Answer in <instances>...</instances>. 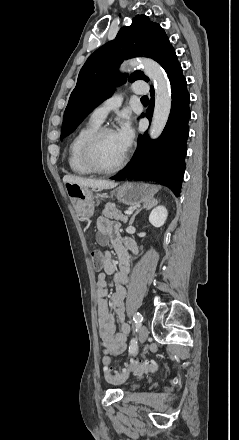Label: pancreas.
Segmentation results:
<instances>
[{"label":"pancreas","instance_id":"obj_1","mask_svg":"<svg viewBox=\"0 0 239 440\" xmlns=\"http://www.w3.org/2000/svg\"><path fill=\"white\" fill-rule=\"evenodd\" d=\"M103 216L105 218H111V220H120V222H124L126 224L128 220V216H124V214H121L120 210H117L115 204H111V202H108V204H105L104 210H102Z\"/></svg>","mask_w":239,"mask_h":440}]
</instances>
